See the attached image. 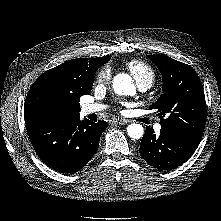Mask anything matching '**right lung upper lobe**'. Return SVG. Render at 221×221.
Wrapping results in <instances>:
<instances>
[{
	"label": "right lung upper lobe",
	"instance_id": "1",
	"mask_svg": "<svg viewBox=\"0 0 221 221\" xmlns=\"http://www.w3.org/2000/svg\"><path fill=\"white\" fill-rule=\"evenodd\" d=\"M111 56L101 58H78L66 61L61 65L44 72L33 85L43 82L56 84L69 93L88 94L91 91L94 74ZM80 108L69 104L46 116H33L25 111V121H56L69 116H79Z\"/></svg>",
	"mask_w": 221,
	"mask_h": 221
}]
</instances>
